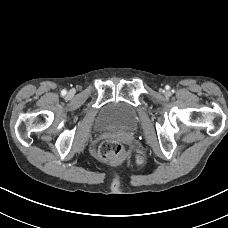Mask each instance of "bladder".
I'll return each mask as SVG.
<instances>
[{
	"label": "bladder",
	"mask_w": 228,
	"mask_h": 228,
	"mask_svg": "<svg viewBox=\"0 0 228 228\" xmlns=\"http://www.w3.org/2000/svg\"><path fill=\"white\" fill-rule=\"evenodd\" d=\"M139 115L136 107L121 101L109 102L96 120L100 129L130 130L136 127Z\"/></svg>",
	"instance_id": "bladder-1"
}]
</instances>
